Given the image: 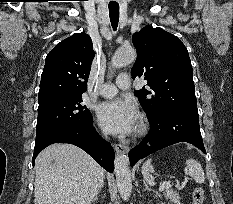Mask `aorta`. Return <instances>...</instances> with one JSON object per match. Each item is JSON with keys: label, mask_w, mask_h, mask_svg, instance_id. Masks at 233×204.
Masks as SVG:
<instances>
[{"label": "aorta", "mask_w": 233, "mask_h": 204, "mask_svg": "<svg viewBox=\"0 0 233 204\" xmlns=\"http://www.w3.org/2000/svg\"><path fill=\"white\" fill-rule=\"evenodd\" d=\"M136 59V51L132 47L119 48L112 57V66L120 68L131 64ZM115 176L121 198L128 200L132 192L131 172L128 158L125 155L115 157Z\"/></svg>", "instance_id": "aorta-1"}]
</instances>
